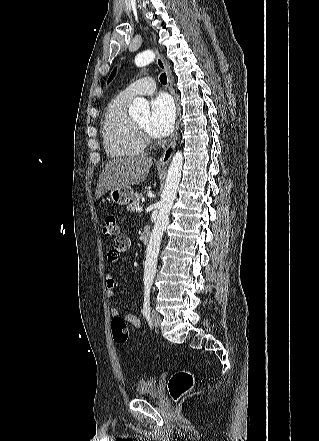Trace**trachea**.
<instances>
[{
    "label": "trachea",
    "mask_w": 319,
    "mask_h": 441,
    "mask_svg": "<svg viewBox=\"0 0 319 441\" xmlns=\"http://www.w3.org/2000/svg\"><path fill=\"white\" fill-rule=\"evenodd\" d=\"M160 82H161L162 84H166V83H167V76H166V73H162V74L160 75Z\"/></svg>",
    "instance_id": "trachea-1"
}]
</instances>
